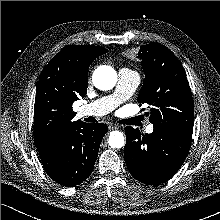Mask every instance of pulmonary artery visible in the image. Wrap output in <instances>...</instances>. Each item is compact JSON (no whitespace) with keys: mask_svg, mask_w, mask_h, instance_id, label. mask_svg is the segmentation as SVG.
<instances>
[{"mask_svg":"<svg viewBox=\"0 0 220 220\" xmlns=\"http://www.w3.org/2000/svg\"><path fill=\"white\" fill-rule=\"evenodd\" d=\"M139 82L140 77L138 73L125 68L120 69L118 72V83L113 94L82 105L80 107V114L82 116L99 117L112 112L134 94ZM153 130V125H148L145 128L147 133H152Z\"/></svg>","mask_w":220,"mask_h":220,"instance_id":"1","label":"pulmonary artery"}]
</instances>
